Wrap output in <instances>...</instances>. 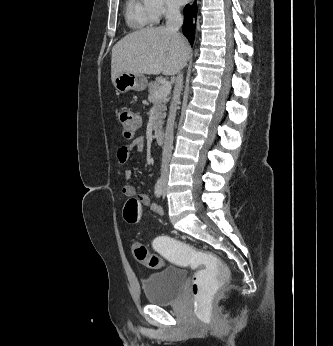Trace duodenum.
I'll return each mask as SVG.
<instances>
[{"mask_svg": "<svg viewBox=\"0 0 333 346\" xmlns=\"http://www.w3.org/2000/svg\"><path fill=\"white\" fill-rule=\"evenodd\" d=\"M154 136H155V140L157 141V143H163L164 142V130L162 128H157L154 131Z\"/></svg>", "mask_w": 333, "mask_h": 346, "instance_id": "1", "label": "duodenum"}]
</instances>
